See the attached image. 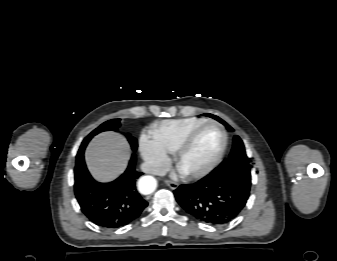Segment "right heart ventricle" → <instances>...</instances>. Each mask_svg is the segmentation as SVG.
<instances>
[{
    "mask_svg": "<svg viewBox=\"0 0 337 261\" xmlns=\"http://www.w3.org/2000/svg\"><path fill=\"white\" fill-rule=\"evenodd\" d=\"M205 121L197 117L162 120L151 126L150 137L166 154H173L185 136Z\"/></svg>",
    "mask_w": 337,
    "mask_h": 261,
    "instance_id": "right-heart-ventricle-1",
    "label": "right heart ventricle"
}]
</instances>
